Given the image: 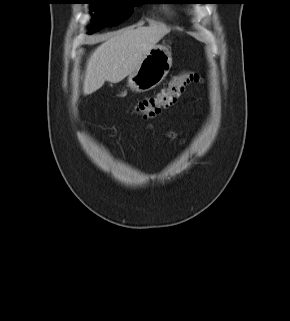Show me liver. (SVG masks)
Masks as SVG:
<instances>
[{
    "instance_id": "6515ba94",
    "label": "liver",
    "mask_w": 290,
    "mask_h": 321,
    "mask_svg": "<svg viewBox=\"0 0 290 321\" xmlns=\"http://www.w3.org/2000/svg\"><path fill=\"white\" fill-rule=\"evenodd\" d=\"M167 33L166 26L153 24L121 30L105 38L87 61L83 94H92L105 81L118 83L130 75Z\"/></svg>"
}]
</instances>
